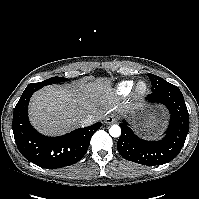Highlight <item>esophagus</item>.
Wrapping results in <instances>:
<instances>
[{
    "label": "esophagus",
    "instance_id": "34e87169",
    "mask_svg": "<svg viewBox=\"0 0 199 199\" xmlns=\"http://www.w3.org/2000/svg\"><path fill=\"white\" fill-rule=\"evenodd\" d=\"M104 122H105L106 124H113V123H116V122H117V118L115 117L114 114H110V115H108V116L105 118Z\"/></svg>",
    "mask_w": 199,
    "mask_h": 199
}]
</instances>
